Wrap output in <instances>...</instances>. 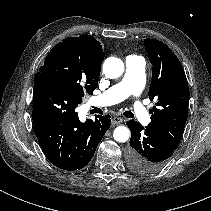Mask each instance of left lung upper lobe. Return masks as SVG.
Returning <instances> with one entry per match:
<instances>
[{
    "mask_svg": "<svg viewBox=\"0 0 211 211\" xmlns=\"http://www.w3.org/2000/svg\"><path fill=\"white\" fill-rule=\"evenodd\" d=\"M144 45L153 66L148 96L150 101H157L150 110L151 122L147 127L177 147L188 116L189 88L185 72L163 42L145 39Z\"/></svg>",
    "mask_w": 211,
    "mask_h": 211,
    "instance_id": "obj_1",
    "label": "left lung upper lobe"
}]
</instances>
